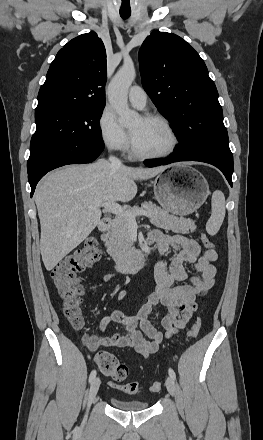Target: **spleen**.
Masks as SVG:
<instances>
[{"label": "spleen", "mask_w": 263, "mask_h": 440, "mask_svg": "<svg viewBox=\"0 0 263 440\" xmlns=\"http://www.w3.org/2000/svg\"><path fill=\"white\" fill-rule=\"evenodd\" d=\"M212 213L209 220L206 223V231L210 235H215L224 220L225 217V196L224 194L216 190L212 195L211 200Z\"/></svg>", "instance_id": "1"}]
</instances>
